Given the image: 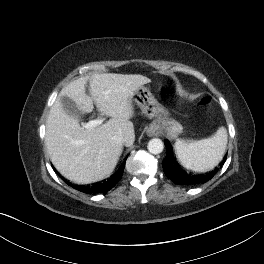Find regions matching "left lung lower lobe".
<instances>
[{
    "label": "left lung lower lobe",
    "instance_id": "0a47b994",
    "mask_svg": "<svg viewBox=\"0 0 264 264\" xmlns=\"http://www.w3.org/2000/svg\"><path fill=\"white\" fill-rule=\"evenodd\" d=\"M165 146L167 149V155L162 162V167L166 176L176 184L180 185H197L209 181L215 173L218 171V168L215 170L202 174L194 175L192 173H187L174 159L173 154L170 150V145L167 140H165ZM227 155L223 158V161L220 163V166L226 161Z\"/></svg>",
    "mask_w": 264,
    "mask_h": 264
}]
</instances>
